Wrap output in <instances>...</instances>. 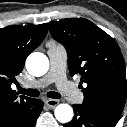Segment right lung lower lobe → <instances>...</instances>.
Masks as SVG:
<instances>
[{
	"label": "right lung lower lobe",
	"instance_id": "1",
	"mask_svg": "<svg viewBox=\"0 0 127 127\" xmlns=\"http://www.w3.org/2000/svg\"><path fill=\"white\" fill-rule=\"evenodd\" d=\"M43 109V102L40 99H34V106L31 115L22 123L13 127H34L37 118Z\"/></svg>",
	"mask_w": 127,
	"mask_h": 127
}]
</instances>
